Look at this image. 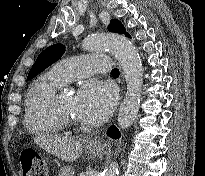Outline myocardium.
I'll list each match as a JSON object with an SVG mask.
<instances>
[{"mask_svg":"<svg viewBox=\"0 0 205 176\" xmlns=\"http://www.w3.org/2000/svg\"><path fill=\"white\" fill-rule=\"evenodd\" d=\"M53 110L56 118L60 121L62 126L73 125L78 122L77 118L70 113L66 112L60 102V96L55 95Z\"/></svg>","mask_w":205,"mask_h":176,"instance_id":"f54148a6","label":"myocardium"}]
</instances>
